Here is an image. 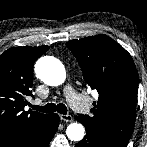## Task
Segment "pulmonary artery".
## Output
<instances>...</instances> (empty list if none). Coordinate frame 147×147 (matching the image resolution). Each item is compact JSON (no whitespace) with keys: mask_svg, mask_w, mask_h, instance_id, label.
I'll return each mask as SVG.
<instances>
[{"mask_svg":"<svg viewBox=\"0 0 147 147\" xmlns=\"http://www.w3.org/2000/svg\"><path fill=\"white\" fill-rule=\"evenodd\" d=\"M64 95L73 109L76 111H84L86 102L84 98L70 85L64 88Z\"/></svg>","mask_w":147,"mask_h":147,"instance_id":"obj_1","label":"pulmonary artery"}]
</instances>
